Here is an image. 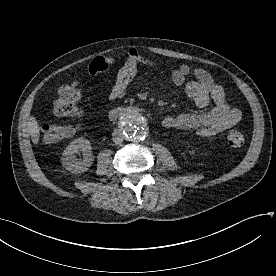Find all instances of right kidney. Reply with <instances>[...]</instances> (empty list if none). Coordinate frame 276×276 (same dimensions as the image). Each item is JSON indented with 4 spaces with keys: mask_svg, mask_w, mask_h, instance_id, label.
<instances>
[{
    "mask_svg": "<svg viewBox=\"0 0 276 276\" xmlns=\"http://www.w3.org/2000/svg\"><path fill=\"white\" fill-rule=\"evenodd\" d=\"M79 151H82L83 158H76L75 154ZM61 160L62 165L71 173L81 174L86 172L94 161L90 141L82 138L72 141L65 148Z\"/></svg>",
    "mask_w": 276,
    "mask_h": 276,
    "instance_id": "right-kidney-1",
    "label": "right kidney"
}]
</instances>
